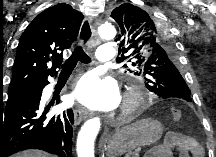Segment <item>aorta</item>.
Instances as JSON below:
<instances>
[{
  "label": "aorta",
  "mask_w": 216,
  "mask_h": 157,
  "mask_svg": "<svg viewBox=\"0 0 216 157\" xmlns=\"http://www.w3.org/2000/svg\"><path fill=\"white\" fill-rule=\"evenodd\" d=\"M99 35L104 40H111L116 35V29L111 23H104L99 27ZM100 119L87 120L78 134L77 155L78 157H94V141L100 130Z\"/></svg>",
  "instance_id": "1"
}]
</instances>
